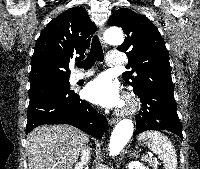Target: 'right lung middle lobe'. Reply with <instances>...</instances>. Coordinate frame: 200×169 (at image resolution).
<instances>
[{"instance_id":"obj_1","label":"right lung middle lobe","mask_w":200,"mask_h":169,"mask_svg":"<svg viewBox=\"0 0 200 169\" xmlns=\"http://www.w3.org/2000/svg\"><path fill=\"white\" fill-rule=\"evenodd\" d=\"M69 78H63V79H49L41 81L37 84L31 85L29 94L37 92V91H45L52 89L54 87H69Z\"/></svg>"}]
</instances>
